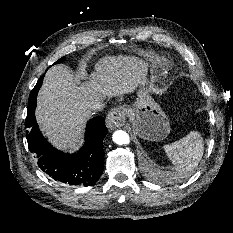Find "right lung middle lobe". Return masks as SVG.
I'll list each match as a JSON object with an SVG mask.
<instances>
[{
    "instance_id": "1",
    "label": "right lung middle lobe",
    "mask_w": 233,
    "mask_h": 233,
    "mask_svg": "<svg viewBox=\"0 0 233 233\" xmlns=\"http://www.w3.org/2000/svg\"><path fill=\"white\" fill-rule=\"evenodd\" d=\"M63 60H64V58L59 59L58 61H56V62L54 63V65H55V64H58V63H60V62H62Z\"/></svg>"
}]
</instances>
